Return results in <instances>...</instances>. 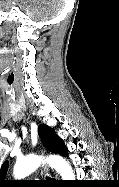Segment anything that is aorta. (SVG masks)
I'll list each match as a JSON object with an SVG mask.
<instances>
[{"instance_id": "762f6f07", "label": "aorta", "mask_w": 119, "mask_h": 187, "mask_svg": "<svg viewBox=\"0 0 119 187\" xmlns=\"http://www.w3.org/2000/svg\"><path fill=\"white\" fill-rule=\"evenodd\" d=\"M43 158L36 155L26 156L17 160L14 166V177L25 178L34 172L42 163ZM47 162L61 175L63 180H75L70 164L61 156L54 155L47 158Z\"/></svg>"}]
</instances>
